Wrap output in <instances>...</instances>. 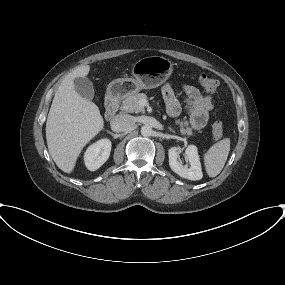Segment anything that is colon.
Returning a JSON list of instances; mask_svg holds the SVG:
<instances>
[{
  "mask_svg": "<svg viewBox=\"0 0 285 285\" xmlns=\"http://www.w3.org/2000/svg\"><path fill=\"white\" fill-rule=\"evenodd\" d=\"M201 86L210 93H216L219 90V83L217 80L208 77L207 75H201L199 78ZM212 135L215 141H219L223 137V125L217 121L212 127Z\"/></svg>",
  "mask_w": 285,
  "mask_h": 285,
  "instance_id": "1",
  "label": "colon"
}]
</instances>
